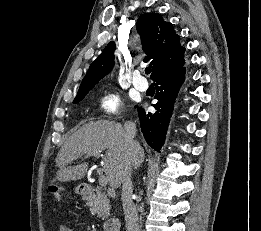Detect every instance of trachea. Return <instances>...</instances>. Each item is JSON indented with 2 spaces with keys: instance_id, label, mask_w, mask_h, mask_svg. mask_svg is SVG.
<instances>
[{
  "instance_id": "1",
  "label": "trachea",
  "mask_w": 261,
  "mask_h": 231,
  "mask_svg": "<svg viewBox=\"0 0 261 231\" xmlns=\"http://www.w3.org/2000/svg\"><path fill=\"white\" fill-rule=\"evenodd\" d=\"M151 71H152V69H151L150 67H147V68L145 69V73H146V74H150Z\"/></svg>"
}]
</instances>
